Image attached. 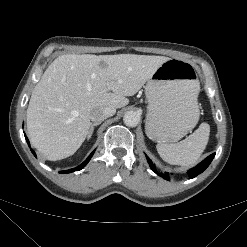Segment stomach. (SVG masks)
Returning <instances> with one entry per match:
<instances>
[{
	"instance_id": "obj_1",
	"label": "stomach",
	"mask_w": 247,
	"mask_h": 247,
	"mask_svg": "<svg viewBox=\"0 0 247 247\" xmlns=\"http://www.w3.org/2000/svg\"><path fill=\"white\" fill-rule=\"evenodd\" d=\"M198 92L199 83L188 62L180 59L164 62L145 86L147 136L167 144L177 142L190 132L199 120L195 104Z\"/></svg>"
}]
</instances>
